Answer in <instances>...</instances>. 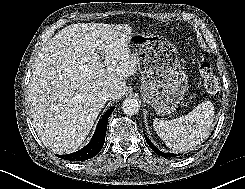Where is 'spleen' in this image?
I'll use <instances>...</instances> for the list:
<instances>
[{
    "label": "spleen",
    "instance_id": "1",
    "mask_svg": "<svg viewBox=\"0 0 245 189\" xmlns=\"http://www.w3.org/2000/svg\"><path fill=\"white\" fill-rule=\"evenodd\" d=\"M214 106L204 101L189 114L172 120L155 119L153 127L173 151L193 150L209 134L214 119Z\"/></svg>",
    "mask_w": 245,
    "mask_h": 189
}]
</instances>
